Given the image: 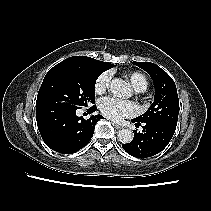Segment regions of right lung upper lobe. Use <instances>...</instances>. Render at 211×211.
<instances>
[{"mask_svg": "<svg viewBox=\"0 0 211 211\" xmlns=\"http://www.w3.org/2000/svg\"><path fill=\"white\" fill-rule=\"evenodd\" d=\"M64 61L79 63V64L97 65L106 70L110 69L114 66L113 64H111L109 62L99 61V60H96V59H93L90 57H86V56H73V57H69V58L65 59Z\"/></svg>", "mask_w": 211, "mask_h": 211, "instance_id": "right-lung-upper-lobe-1", "label": "right lung upper lobe"}]
</instances>
